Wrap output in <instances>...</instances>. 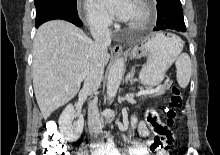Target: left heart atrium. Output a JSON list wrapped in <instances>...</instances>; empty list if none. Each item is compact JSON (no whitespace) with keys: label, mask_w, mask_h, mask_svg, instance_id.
<instances>
[{"label":"left heart atrium","mask_w":220,"mask_h":155,"mask_svg":"<svg viewBox=\"0 0 220 155\" xmlns=\"http://www.w3.org/2000/svg\"><path fill=\"white\" fill-rule=\"evenodd\" d=\"M98 3L120 20H128L134 4L132 0H98Z\"/></svg>","instance_id":"obj_1"}]
</instances>
